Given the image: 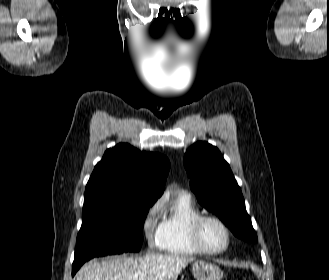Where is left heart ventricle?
<instances>
[{
  "mask_svg": "<svg viewBox=\"0 0 329 280\" xmlns=\"http://www.w3.org/2000/svg\"><path fill=\"white\" fill-rule=\"evenodd\" d=\"M204 245L209 249H220L226 243V234L223 228L213 221L206 222L201 231Z\"/></svg>",
  "mask_w": 329,
  "mask_h": 280,
  "instance_id": "obj_1",
  "label": "left heart ventricle"
}]
</instances>
